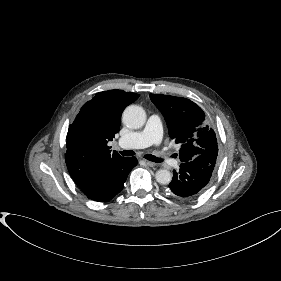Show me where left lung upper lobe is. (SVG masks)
<instances>
[{
	"instance_id": "obj_1",
	"label": "left lung upper lobe",
	"mask_w": 281,
	"mask_h": 281,
	"mask_svg": "<svg viewBox=\"0 0 281 281\" xmlns=\"http://www.w3.org/2000/svg\"><path fill=\"white\" fill-rule=\"evenodd\" d=\"M150 99L163 114L170 138L181 145L182 163L202 154L218 153L215 133L198 105L186 98L167 95L150 94Z\"/></svg>"
}]
</instances>
